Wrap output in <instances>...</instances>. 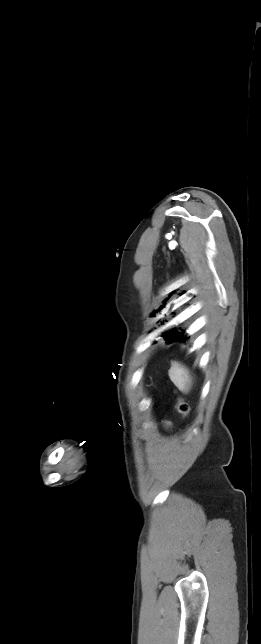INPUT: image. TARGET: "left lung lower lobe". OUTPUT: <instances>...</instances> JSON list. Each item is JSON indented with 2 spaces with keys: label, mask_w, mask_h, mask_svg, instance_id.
Returning a JSON list of instances; mask_svg holds the SVG:
<instances>
[{
  "label": "left lung lower lobe",
  "mask_w": 261,
  "mask_h": 644,
  "mask_svg": "<svg viewBox=\"0 0 261 644\" xmlns=\"http://www.w3.org/2000/svg\"><path fill=\"white\" fill-rule=\"evenodd\" d=\"M166 337L168 338L167 339L168 343H172L174 341H186L189 338L186 335H184V331L183 332H172V333L168 334Z\"/></svg>",
  "instance_id": "left-lung-lower-lobe-1"
}]
</instances>
